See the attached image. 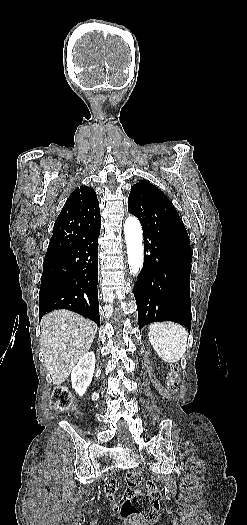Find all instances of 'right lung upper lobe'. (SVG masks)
<instances>
[{"mask_svg": "<svg viewBox=\"0 0 247 525\" xmlns=\"http://www.w3.org/2000/svg\"><path fill=\"white\" fill-rule=\"evenodd\" d=\"M101 217L95 191L75 189L57 217L45 257L63 253L100 231Z\"/></svg>", "mask_w": 247, "mask_h": 525, "instance_id": "cb5924a9", "label": "right lung upper lobe"}]
</instances>
